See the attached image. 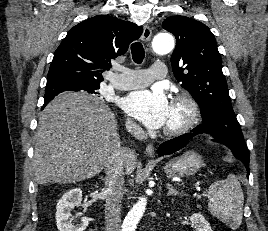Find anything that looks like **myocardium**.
Returning <instances> with one entry per match:
<instances>
[{
	"mask_svg": "<svg viewBox=\"0 0 268 231\" xmlns=\"http://www.w3.org/2000/svg\"><path fill=\"white\" fill-rule=\"evenodd\" d=\"M171 104L182 105L186 110V117L178 126L164 127L162 132L167 136L182 135L196 124L199 118V106L196 100L186 92L176 94L172 98Z\"/></svg>",
	"mask_w": 268,
	"mask_h": 231,
	"instance_id": "f54148a6",
	"label": "myocardium"
}]
</instances>
